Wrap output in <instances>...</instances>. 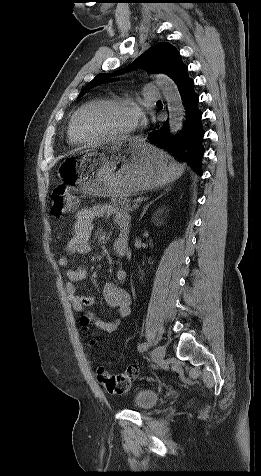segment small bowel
I'll use <instances>...</instances> for the list:
<instances>
[{"mask_svg":"<svg viewBox=\"0 0 261 476\" xmlns=\"http://www.w3.org/2000/svg\"><path fill=\"white\" fill-rule=\"evenodd\" d=\"M103 217H111L118 229V236L114 243L116 254L118 256L126 254L130 226L129 215L110 205H96L81 209L76 214L71 237L65 247L67 256L59 259L61 267L67 268L69 266V256H84L91 251V239L95 231L94 221ZM87 273L86 264H81L75 269H67L65 289L68 299L73 309L83 314V319L86 323L95 325L105 333H113L120 327L122 320L130 313L131 297L119 285L127 281L128 273L123 268L118 269L115 273L117 283H107L103 288V297L106 303L117 312V316L109 321L101 320L94 313L87 310L94 303L93 297L78 294L77 283L84 280Z\"/></svg>","mask_w":261,"mask_h":476,"instance_id":"1","label":"small bowel"}]
</instances>
